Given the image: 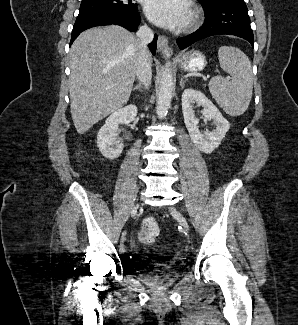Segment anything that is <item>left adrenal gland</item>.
Listing matches in <instances>:
<instances>
[{
  "label": "left adrenal gland",
  "mask_w": 298,
  "mask_h": 325,
  "mask_svg": "<svg viewBox=\"0 0 298 325\" xmlns=\"http://www.w3.org/2000/svg\"><path fill=\"white\" fill-rule=\"evenodd\" d=\"M186 82V78H180V86L181 88H184Z\"/></svg>",
  "instance_id": "obj_1"
}]
</instances>
